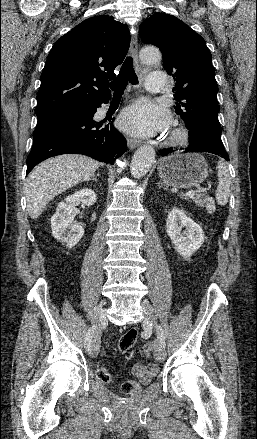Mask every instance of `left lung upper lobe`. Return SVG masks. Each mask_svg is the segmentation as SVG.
I'll list each match as a JSON object with an SVG mask.
<instances>
[{
	"instance_id": "5c2ea615",
	"label": "left lung upper lobe",
	"mask_w": 257,
	"mask_h": 439,
	"mask_svg": "<svg viewBox=\"0 0 257 439\" xmlns=\"http://www.w3.org/2000/svg\"><path fill=\"white\" fill-rule=\"evenodd\" d=\"M140 37L162 52L163 67L175 80L174 108L189 129V139L196 142L202 132H207L222 142L218 86L205 40L177 17L165 13L144 20Z\"/></svg>"
}]
</instances>
